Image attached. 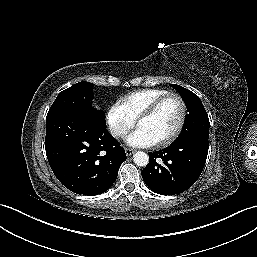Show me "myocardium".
I'll list each match as a JSON object with an SVG mask.
<instances>
[{
  "label": "myocardium",
  "instance_id": "1",
  "mask_svg": "<svg viewBox=\"0 0 257 257\" xmlns=\"http://www.w3.org/2000/svg\"><path fill=\"white\" fill-rule=\"evenodd\" d=\"M170 98H176L178 99L180 106H181V116H180V120L177 124V127L175 128V130L166 138L156 142L157 146H165L168 144H171L172 142H174L179 135L181 134L183 127L185 125L186 122V118H187V105L185 100L183 99V97L178 94V93H174V92H170L162 97H160L159 99H157L156 101H154L146 110H144L137 118V125L138 123L146 118L151 117L152 115H154L156 113V111Z\"/></svg>",
  "mask_w": 257,
  "mask_h": 257
}]
</instances>
